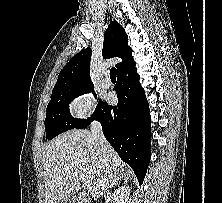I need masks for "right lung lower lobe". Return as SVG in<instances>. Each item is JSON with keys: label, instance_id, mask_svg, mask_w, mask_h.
I'll use <instances>...</instances> for the list:
<instances>
[{"label": "right lung lower lobe", "instance_id": "1", "mask_svg": "<svg viewBox=\"0 0 222 203\" xmlns=\"http://www.w3.org/2000/svg\"><path fill=\"white\" fill-rule=\"evenodd\" d=\"M115 91L118 104L100 102L91 118L75 128L87 127L91 121L101 123L103 134L119 157L129 164L142 184L151 155V120L148 102L139 83L135 65L117 74Z\"/></svg>", "mask_w": 222, "mask_h": 203}]
</instances>
